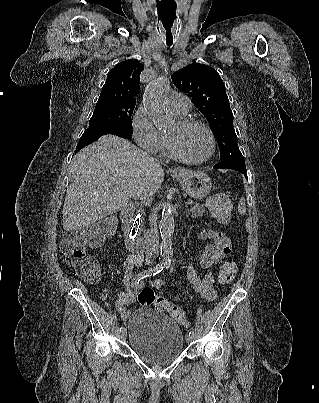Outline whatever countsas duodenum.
I'll return each instance as SVG.
<instances>
[{
    "mask_svg": "<svg viewBox=\"0 0 319 403\" xmlns=\"http://www.w3.org/2000/svg\"><path fill=\"white\" fill-rule=\"evenodd\" d=\"M136 207L133 203L127 204L121 212L120 219L122 230L126 238V246L129 250L142 253L152 239V232L147 230L143 236L138 233L134 223Z\"/></svg>",
    "mask_w": 319,
    "mask_h": 403,
    "instance_id": "duodenum-1",
    "label": "duodenum"
}]
</instances>
